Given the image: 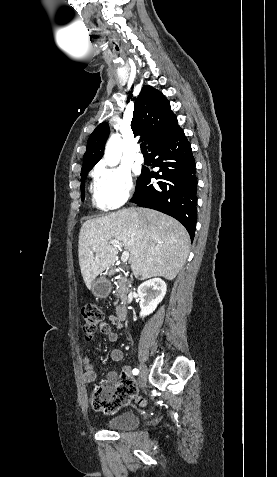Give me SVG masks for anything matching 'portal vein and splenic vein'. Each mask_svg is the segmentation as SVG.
<instances>
[{
  "label": "portal vein and splenic vein",
  "mask_w": 277,
  "mask_h": 477,
  "mask_svg": "<svg viewBox=\"0 0 277 477\" xmlns=\"http://www.w3.org/2000/svg\"><path fill=\"white\" fill-rule=\"evenodd\" d=\"M110 244H111L112 246H115V247H118V248H121V247H122V243H120L119 240H117V239L111 240V241H110ZM129 256H130L129 251H127V250H126V251H123V253H122V255H121V261H122V262H127L128 259H129Z\"/></svg>",
  "instance_id": "obj_1"
}]
</instances>
